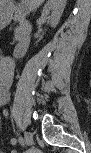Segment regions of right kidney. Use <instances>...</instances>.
Wrapping results in <instances>:
<instances>
[{
	"label": "right kidney",
	"mask_w": 91,
	"mask_h": 153,
	"mask_svg": "<svg viewBox=\"0 0 91 153\" xmlns=\"http://www.w3.org/2000/svg\"><path fill=\"white\" fill-rule=\"evenodd\" d=\"M65 5L62 3L61 0H48V2L44 5L42 10V18L45 19L48 17L49 13H51V16H49V22L52 27H56L60 17L63 13ZM41 36L38 34H35V38H38Z\"/></svg>",
	"instance_id": "right-kidney-1"
}]
</instances>
